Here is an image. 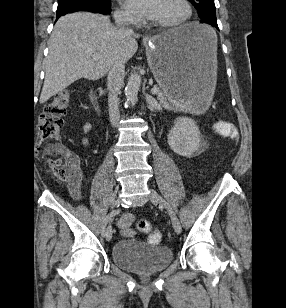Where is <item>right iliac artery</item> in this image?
I'll use <instances>...</instances> for the list:
<instances>
[{
  "label": "right iliac artery",
  "instance_id": "right-iliac-artery-1",
  "mask_svg": "<svg viewBox=\"0 0 286 308\" xmlns=\"http://www.w3.org/2000/svg\"><path fill=\"white\" fill-rule=\"evenodd\" d=\"M119 210H121V209H119ZM119 210H113L105 217V219L103 221L102 233H101L103 237H105V235H106L107 224L110 223L113 220V217L119 213Z\"/></svg>",
  "mask_w": 286,
  "mask_h": 308
}]
</instances>
